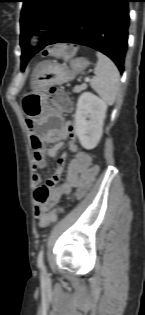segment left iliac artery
<instances>
[{
    "instance_id": "obj_1",
    "label": "left iliac artery",
    "mask_w": 145,
    "mask_h": 315,
    "mask_svg": "<svg viewBox=\"0 0 145 315\" xmlns=\"http://www.w3.org/2000/svg\"><path fill=\"white\" fill-rule=\"evenodd\" d=\"M43 257H44V249L42 248L37 257V264L40 269H45Z\"/></svg>"
}]
</instances>
